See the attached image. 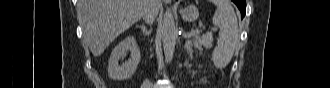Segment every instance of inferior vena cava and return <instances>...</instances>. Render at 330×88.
Listing matches in <instances>:
<instances>
[{
    "mask_svg": "<svg viewBox=\"0 0 330 88\" xmlns=\"http://www.w3.org/2000/svg\"><path fill=\"white\" fill-rule=\"evenodd\" d=\"M154 2H155V0H148V4L143 12L142 17H143V19H145V21L147 23H153L156 15H157V11L155 9Z\"/></svg>",
    "mask_w": 330,
    "mask_h": 88,
    "instance_id": "obj_1",
    "label": "inferior vena cava"
}]
</instances>
